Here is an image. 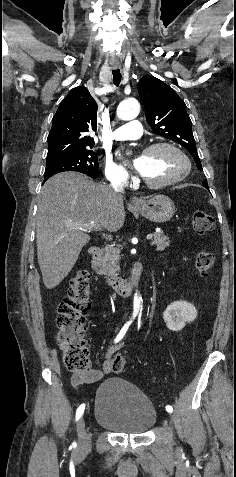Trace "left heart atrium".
<instances>
[{"label":"left heart atrium","instance_id":"left-heart-atrium-1","mask_svg":"<svg viewBox=\"0 0 236 477\" xmlns=\"http://www.w3.org/2000/svg\"><path fill=\"white\" fill-rule=\"evenodd\" d=\"M136 168H137V170H138V166H137V164H136ZM138 171H139V170H138Z\"/></svg>","mask_w":236,"mask_h":477}]
</instances>
